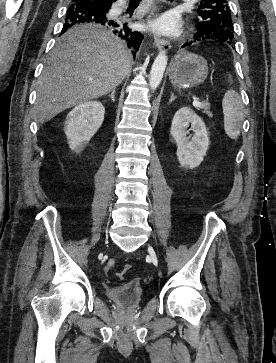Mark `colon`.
<instances>
[{
    "label": "colon",
    "instance_id": "obj_1",
    "mask_svg": "<svg viewBox=\"0 0 276 363\" xmlns=\"http://www.w3.org/2000/svg\"><path fill=\"white\" fill-rule=\"evenodd\" d=\"M130 268H131V266H130V265H126V266L124 267V269H123V272H127V271H129V270H130Z\"/></svg>",
    "mask_w": 276,
    "mask_h": 363
}]
</instances>
